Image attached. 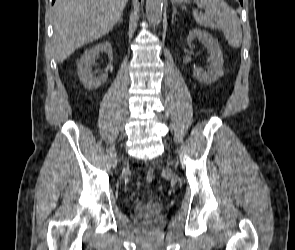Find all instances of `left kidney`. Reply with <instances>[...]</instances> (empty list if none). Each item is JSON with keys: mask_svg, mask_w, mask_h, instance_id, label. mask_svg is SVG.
Here are the masks:
<instances>
[{"mask_svg": "<svg viewBox=\"0 0 295 250\" xmlns=\"http://www.w3.org/2000/svg\"><path fill=\"white\" fill-rule=\"evenodd\" d=\"M196 38L204 43V46L209 52L210 57L207 59V62L210 66L207 71L201 68H195L193 75L198 81L210 84L223 75V54L218 40L214 39L206 31L192 29L187 37V43L190 47L192 46V41Z\"/></svg>", "mask_w": 295, "mask_h": 250, "instance_id": "5707ae66", "label": "left kidney"}]
</instances>
